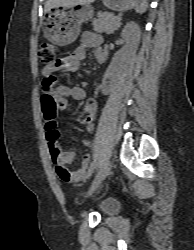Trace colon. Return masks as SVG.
Returning a JSON list of instances; mask_svg holds the SVG:
<instances>
[{"instance_id": "1", "label": "colon", "mask_w": 194, "mask_h": 250, "mask_svg": "<svg viewBox=\"0 0 194 250\" xmlns=\"http://www.w3.org/2000/svg\"><path fill=\"white\" fill-rule=\"evenodd\" d=\"M39 57L42 63L47 64L49 66H56L58 64V61L56 59V47L51 43H46L42 45L39 50ZM45 82L47 84L53 83L54 77L46 79ZM41 105L43 115L53 116L57 111V103L54 97L48 92H46L42 96ZM56 170L58 175L65 180H68L71 176L70 171L62 165H56Z\"/></svg>"}]
</instances>
